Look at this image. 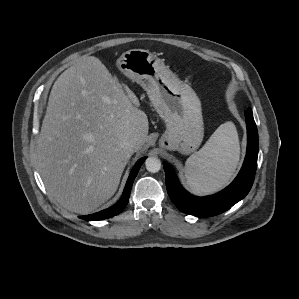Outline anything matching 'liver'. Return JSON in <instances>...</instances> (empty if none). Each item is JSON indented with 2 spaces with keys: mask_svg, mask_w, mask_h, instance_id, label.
<instances>
[{
  "mask_svg": "<svg viewBox=\"0 0 299 299\" xmlns=\"http://www.w3.org/2000/svg\"><path fill=\"white\" fill-rule=\"evenodd\" d=\"M94 56H82L55 81L36 145V165L49 194L87 214L116 192L133 152L120 143L147 140V115Z\"/></svg>",
  "mask_w": 299,
  "mask_h": 299,
  "instance_id": "1",
  "label": "liver"
}]
</instances>
